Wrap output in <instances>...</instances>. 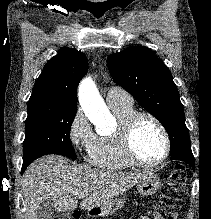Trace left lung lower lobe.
I'll return each instance as SVG.
<instances>
[{
	"label": "left lung lower lobe",
	"mask_w": 211,
	"mask_h": 219,
	"mask_svg": "<svg viewBox=\"0 0 211 219\" xmlns=\"http://www.w3.org/2000/svg\"><path fill=\"white\" fill-rule=\"evenodd\" d=\"M171 160H180L188 163L193 169L195 168V161L191 151V146L183 147L177 152L171 154Z\"/></svg>",
	"instance_id": "left-lung-lower-lobe-1"
}]
</instances>
